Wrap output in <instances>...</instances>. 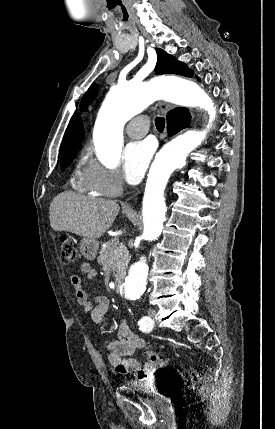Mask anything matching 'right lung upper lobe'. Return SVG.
<instances>
[{"instance_id": "1", "label": "right lung upper lobe", "mask_w": 275, "mask_h": 429, "mask_svg": "<svg viewBox=\"0 0 275 429\" xmlns=\"http://www.w3.org/2000/svg\"><path fill=\"white\" fill-rule=\"evenodd\" d=\"M84 138V130L80 117L75 113L71 118L69 125L65 131V135L61 146V158L77 154L81 148V142Z\"/></svg>"}]
</instances>
